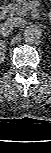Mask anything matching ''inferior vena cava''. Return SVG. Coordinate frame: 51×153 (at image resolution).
<instances>
[{
    "label": "inferior vena cava",
    "instance_id": "inferior-vena-cava-1",
    "mask_svg": "<svg viewBox=\"0 0 51 153\" xmlns=\"http://www.w3.org/2000/svg\"><path fill=\"white\" fill-rule=\"evenodd\" d=\"M24 23H25V20H23L22 18L11 17L6 20L5 25L9 29H15V28L22 27Z\"/></svg>",
    "mask_w": 51,
    "mask_h": 153
}]
</instances>
